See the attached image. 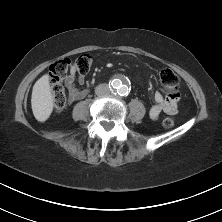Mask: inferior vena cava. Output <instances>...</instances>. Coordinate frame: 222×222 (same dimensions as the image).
<instances>
[{
    "label": "inferior vena cava",
    "mask_w": 222,
    "mask_h": 222,
    "mask_svg": "<svg viewBox=\"0 0 222 222\" xmlns=\"http://www.w3.org/2000/svg\"><path fill=\"white\" fill-rule=\"evenodd\" d=\"M111 89L105 83L98 85L95 88V93L98 96H108L110 94Z\"/></svg>",
    "instance_id": "602c4592"
}]
</instances>
